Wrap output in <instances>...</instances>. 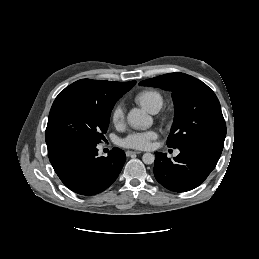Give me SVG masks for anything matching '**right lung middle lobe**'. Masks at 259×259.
<instances>
[{"label":"right lung middle lobe","mask_w":259,"mask_h":259,"mask_svg":"<svg viewBox=\"0 0 259 259\" xmlns=\"http://www.w3.org/2000/svg\"><path fill=\"white\" fill-rule=\"evenodd\" d=\"M113 104H98L74 95L56 97L45 132L46 144L105 140Z\"/></svg>","instance_id":"dd1d6c3e"}]
</instances>
